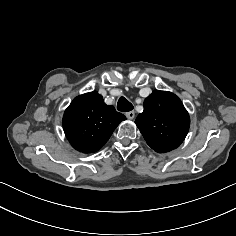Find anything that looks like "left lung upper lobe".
<instances>
[{"label": "left lung upper lobe", "instance_id": "obj_1", "mask_svg": "<svg viewBox=\"0 0 236 236\" xmlns=\"http://www.w3.org/2000/svg\"><path fill=\"white\" fill-rule=\"evenodd\" d=\"M147 144L158 153L177 148L185 139L190 118L173 93L154 90L144 101V111L135 120Z\"/></svg>", "mask_w": 236, "mask_h": 236}]
</instances>
